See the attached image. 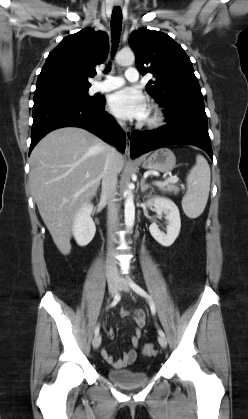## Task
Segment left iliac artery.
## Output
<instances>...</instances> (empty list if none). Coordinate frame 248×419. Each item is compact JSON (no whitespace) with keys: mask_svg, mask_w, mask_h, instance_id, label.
Here are the masks:
<instances>
[{"mask_svg":"<svg viewBox=\"0 0 248 419\" xmlns=\"http://www.w3.org/2000/svg\"><path fill=\"white\" fill-rule=\"evenodd\" d=\"M129 284L130 287L140 296L145 297L148 301H149V305H150V309L153 315H155L156 313V308H155V304L152 300V298L150 297V295L144 290L142 289L139 285H137L136 283H134L131 279L129 280ZM158 333L161 336H165L164 332L161 329H158Z\"/></svg>","mask_w":248,"mask_h":419,"instance_id":"obj_1","label":"left iliac artery"}]
</instances>
